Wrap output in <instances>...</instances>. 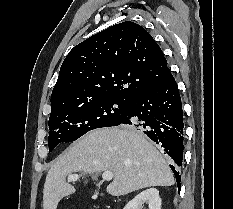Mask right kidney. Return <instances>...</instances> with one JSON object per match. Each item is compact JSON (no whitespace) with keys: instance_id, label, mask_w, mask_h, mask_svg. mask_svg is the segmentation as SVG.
Here are the masks:
<instances>
[{"instance_id":"1","label":"right kidney","mask_w":233,"mask_h":209,"mask_svg":"<svg viewBox=\"0 0 233 209\" xmlns=\"http://www.w3.org/2000/svg\"><path fill=\"white\" fill-rule=\"evenodd\" d=\"M147 202L149 209H161V198L156 188H149L138 194L131 200L124 209H142V205Z\"/></svg>"}]
</instances>
